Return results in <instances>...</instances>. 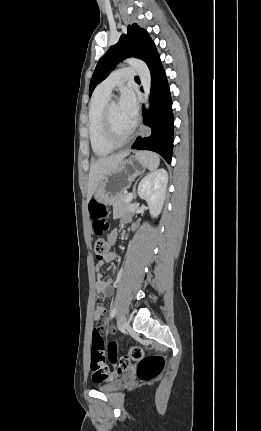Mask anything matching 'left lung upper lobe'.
<instances>
[{"label": "left lung upper lobe", "instance_id": "left-lung-upper-lobe-1", "mask_svg": "<svg viewBox=\"0 0 261 431\" xmlns=\"http://www.w3.org/2000/svg\"><path fill=\"white\" fill-rule=\"evenodd\" d=\"M155 51L154 42L147 31L138 27L136 23L129 25L128 35H122L118 43L110 47L98 61L90 82V96L97 84L110 74L119 61L134 55L146 62Z\"/></svg>", "mask_w": 261, "mask_h": 431}]
</instances>
